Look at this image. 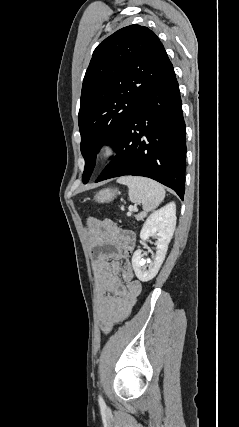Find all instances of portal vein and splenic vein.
<instances>
[{
	"mask_svg": "<svg viewBox=\"0 0 239 427\" xmlns=\"http://www.w3.org/2000/svg\"><path fill=\"white\" fill-rule=\"evenodd\" d=\"M137 210V207L136 206H130L129 207V211L130 212H132V211H136Z\"/></svg>",
	"mask_w": 239,
	"mask_h": 427,
	"instance_id": "portal-vein-and-splenic-vein-1",
	"label": "portal vein and splenic vein"
}]
</instances>
